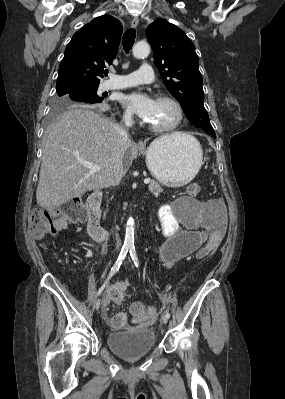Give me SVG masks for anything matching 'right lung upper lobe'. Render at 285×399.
I'll list each match as a JSON object with an SVG mask.
<instances>
[{"label": "right lung upper lobe", "mask_w": 285, "mask_h": 399, "mask_svg": "<svg viewBox=\"0 0 285 399\" xmlns=\"http://www.w3.org/2000/svg\"><path fill=\"white\" fill-rule=\"evenodd\" d=\"M123 33L120 21L102 15L77 31L59 66L56 91L98 87L101 71L112 64Z\"/></svg>", "instance_id": "obj_1"}]
</instances>
